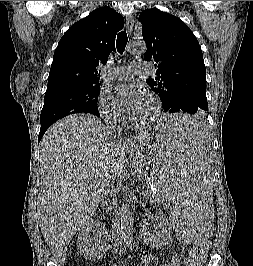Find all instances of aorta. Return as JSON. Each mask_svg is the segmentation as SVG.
<instances>
[{"label": "aorta", "mask_w": 253, "mask_h": 266, "mask_svg": "<svg viewBox=\"0 0 253 266\" xmlns=\"http://www.w3.org/2000/svg\"><path fill=\"white\" fill-rule=\"evenodd\" d=\"M146 51V45L143 41H132L128 46V52L134 55H141ZM118 225L121 231V238L124 243L129 244L133 240L132 219L129 205L123 204L118 211Z\"/></svg>", "instance_id": "1"}]
</instances>
